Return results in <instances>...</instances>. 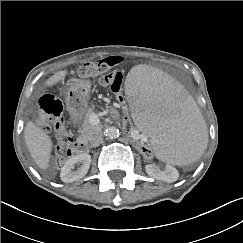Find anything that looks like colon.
Listing matches in <instances>:
<instances>
[{"mask_svg":"<svg viewBox=\"0 0 243 243\" xmlns=\"http://www.w3.org/2000/svg\"><path fill=\"white\" fill-rule=\"evenodd\" d=\"M123 62L124 58L121 56H108L81 65L77 73L82 79L97 77L102 85L110 87L117 96L118 113L123 124L122 137L127 138L129 143L135 145L136 153L146 156L149 160H154L157 157L156 150L150 149L143 142H133L129 138L132 135L133 122L130 119L131 112L126 109V102L122 97L123 74L119 68ZM37 106L39 110V116L36 120L38 126L43 130H53L56 133L59 142L57 161L61 163L73 155L72 139L66 131L62 115V102L54 95H44L38 100Z\"/></svg>","mask_w":243,"mask_h":243,"instance_id":"1","label":"colon"}]
</instances>
